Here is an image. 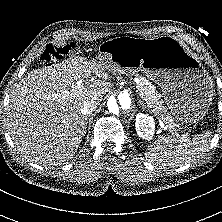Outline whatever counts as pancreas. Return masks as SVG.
<instances>
[{
	"instance_id": "pancreas-1",
	"label": "pancreas",
	"mask_w": 222,
	"mask_h": 222,
	"mask_svg": "<svg viewBox=\"0 0 222 222\" xmlns=\"http://www.w3.org/2000/svg\"><path fill=\"white\" fill-rule=\"evenodd\" d=\"M138 80L137 89L151 111L167 125L173 124V119L168 113L166 106H164L161 94L156 90V87L142 76H139Z\"/></svg>"
}]
</instances>
